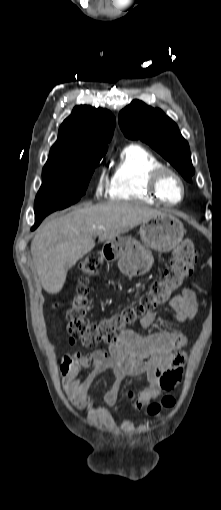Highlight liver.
I'll list each match as a JSON object with an SVG mask.
<instances>
[{"mask_svg": "<svg viewBox=\"0 0 221 510\" xmlns=\"http://www.w3.org/2000/svg\"><path fill=\"white\" fill-rule=\"evenodd\" d=\"M161 212L136 203L109 201L85 205L46 221L31 242V255L43 289L58 293L74 266L99 242L128 232Z\"/></svg>", "mask_w": 221, "mask_h": 510, "instance_id": "6515ba94", "label": "liver"}]
</instances>
